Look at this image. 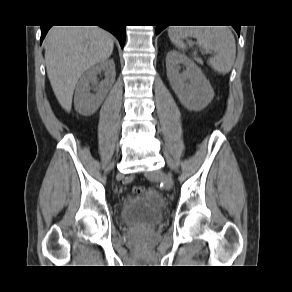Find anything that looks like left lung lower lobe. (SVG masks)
<instances>
[{
    "mask_svg": "<svg viewBox=\"0 0 292 292\" xmlns=\"http://www.w3.org/2000/svg\"><path fill=\"white\" fill-rule=\"evenodd\" d=\"M166 26H156V34H158V33H160L164 28H165ZM235 28V30H236V32L238 33V35H239V33H240V26H237V27H234Z\"/></svg>",
    "mask_w": 292,
    "mask_h": 292,
    "instance_id": "left-lung-lower-lobe-1",
    "label": "left lung lower lobe"
}]
</instances>
